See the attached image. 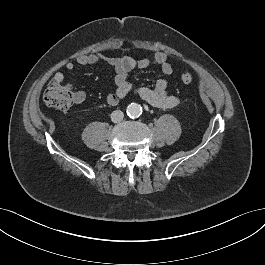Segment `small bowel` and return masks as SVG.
Returning <instances> with one entry per match:
<instances>
[{"label":"small bowel","instance_id":"c3829d8e","mask_svg":"<svg viewBox=\"0 0 265 265\" xmlns=\"http://www.w3.org/2000/svg\"><path fill=\"white\" fill-rule=\"evenodd\" d=\"M98 63L107 64L114 68L116 73L114 78L116 89L114 92L109 93L106 98L107 103L111 106L118 104V102L125 98L130 92L135 93L145 102L157 108H173L180 103L177 96L168 92V78L157 80L153 88L133 87L128 82V76L132 70L145 69L151 65L159 66L161 72L166 77L172 76L174 73L173 66L169 62L168 56L163 52H155L139 59L131 56L114 57L101 52L84 54L76 58V64L81 66ZM76 64L67 62L65 68L68 71L74 72L77 69ZM53 78L63 81L64 75L61 72H56ZM85 98L86 94L83 91H76L74 93V104L79 105L83 103Z\"/></svg>","mask_w":265,"mask_h":265}]
</instances>
